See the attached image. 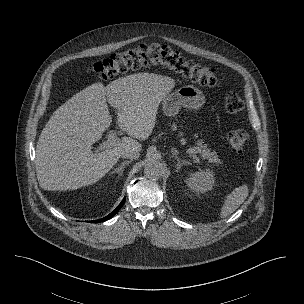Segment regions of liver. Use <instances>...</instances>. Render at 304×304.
<instances>
[{"label":"liver","mask_w":304,"mask_h":304,"mask_svg":"<svg viewBox=\"0 0 304 304\" xmlns=\"http://www.w3.org/2000/svg\"><path fill=\"white\" fill-rule=\"evenodd\" d=\"M175 87V80L154 73L118 78L106 87L94 83L71 97L53 113L36 147V174L44 190L66 191L91 185L117 163L121 153L141 150L156 123L158 107ZM110 105L117 111L122 137L110 148L93 152L92 145L110 126Z\"/></svg>","instance_id":"6515ba94"}]
</instances>
